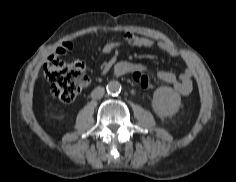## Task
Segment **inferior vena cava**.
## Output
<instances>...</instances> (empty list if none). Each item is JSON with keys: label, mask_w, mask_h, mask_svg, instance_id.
Masks as SVG:
<instances>
[{"label": "inferior vena cava", "mask_w": 236, "mask_h": 182, "mask_svg": "<svg viewBox=\"0 0 236 182\" xmlns=\"http://www.w3.org/2000/svg\"><path fill=\"white\" fill-rule=\"evenodd\" d=\"M104 93H105L104 87H97L92 91L91 97L93 99H100L104 96Z\"/></svg>", "instance_id": "obj_1"}]
</instances>
